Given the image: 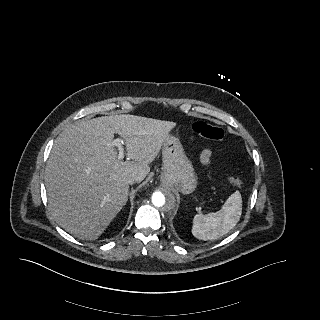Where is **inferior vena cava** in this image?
Returning <instances> with one entry per match:
<instances>
[{"instance_id": "obj_1", "label": "inferior vena cava", "mask_w": 320, "mask_h": 320, "mask_svg": "<svg viewBox=\"0 0 320 320\" xmlns=\"http://www.w3.org/2000/svg\"><path fill=\"white\" fill-rule=\"evenodd\" d=\"M135 182H136V178L135 177L130 176V177L127 178V183L128 184H133Z\"/></svg>"}]
</instances>
